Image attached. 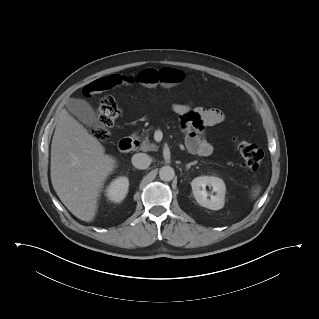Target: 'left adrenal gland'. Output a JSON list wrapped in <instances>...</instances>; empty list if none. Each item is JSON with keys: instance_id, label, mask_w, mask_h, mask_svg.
<instances>
[{"instance_id": "obj_1", "label": "left adrenal gland", "mask_w": 319, "mask_h": 319, "mask_svg": "<svg viewBox=\"0 0 319 319\" xmlns=\"http://www.w3.org/2000/svg\"><path fill=\"white\" fill-rule=\"evenodd\" d=\"M196 163H197L196 161L191 162V163H188V164L186 165V169L189 170L190 167H191L192 165H195Z\"/></svg>"}]
</instances>
